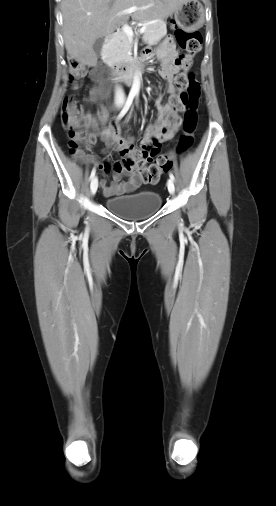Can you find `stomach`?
<instances>
[{"label": "stomach", "mask_w": 276, "mask_h": 506, "mask_svg": "<svg viewBox=\"0 0 276 506\" xmlns=\"http://www.w3.org/2000/svg\"><path fill=\"white\" fill-rule=\"evenodd\" d=\"M174 18L181 28L197 29L205 21V10L198 0H188L174 12Z\"/></svg>", "instance_id": "obj_1"}]
</instances>
